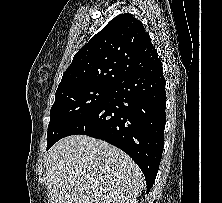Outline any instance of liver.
I'll use <instances>...</instances> for the list:
<instances>
[{"instance_id": "1", "label": "liver", "mask_w": 222, "mask_h": 203, "mask_svg": "<svg viewBox=\"0 0 222 203\" xmlns=\"http://www.w3.org/2000/svg\"><path fill=\"white\" fill-rule=\"evenodd\" d=\"M45 175L50 203H125L144 187L126 153L86 135L56 142L46 155Z\"/></svg>"}]
</instances>
